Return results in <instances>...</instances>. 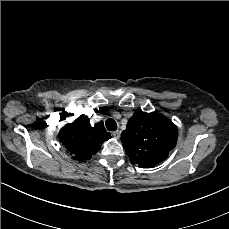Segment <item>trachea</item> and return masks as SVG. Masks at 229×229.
<instances>
[{
    "mask_svg": "<svg viewBox=\"0 0 229 229\" xmlns=\"http://www.w3.org/2000/svg\"><path fill=\"white\" fill-rule=\"evenodd\" d=\"M105 125L109 131H116L118 127L117 123L111 118L106 120Z\"/></svg>",
    "mask_w": 229,
    "mask_h": 229,
    "instance_id": "trachea-1",
    "label": "trachea"
}]
</instances>
